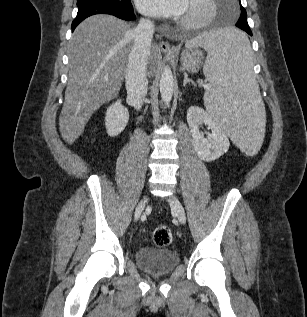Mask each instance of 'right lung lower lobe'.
I'll return each instance as SVG.
<instances>
[{
  "label": "right lung lower lobe",
  "instance_id": "obj_1",
  "mask_svg": "<svg viewBox=\"0 0 307 317\" xmlns=\"http://www.w3.org/2000/svg\"><path fill=\"white\" fill-rule=\"evenodd\" d=\"M96 14H110L124 20L135 19L131 2L123 6H115L99 1L88 2L78 6L77 16L71 25L72 32L81 21Z\"/></svg>",
  "mask_w": 307,
  "mask_h": 317
}]
</instances>
